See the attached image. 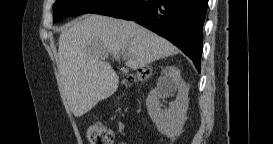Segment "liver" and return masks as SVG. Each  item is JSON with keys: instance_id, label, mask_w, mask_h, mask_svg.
I'll return each instance as SVG.
<instances>
[{"instance_id": "liver-1", "label": "liver", "mask_w": 273, "mask_h": 144, "mask_svg": "<svg viewBox=\"0 0 273 144\" xmlns=\"http://www.w3.org/2000/svg\"><path fill=\"white\" fill-rule=\"evenodd\" d=\"M123 51L126 66L134 70L178 53L168 40L137 23L102 15H86L61 32L58 69L75 117L117 90L119 78L105 59Z\"/></svg>"}]
</instances>
